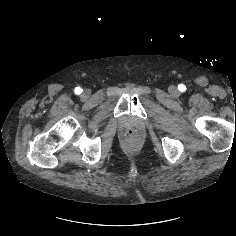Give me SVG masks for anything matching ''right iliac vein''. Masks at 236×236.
<instances>
[{
    "label": "right iliac vein",
    "mask_w": 236,
    "mask_h": 236,
    "mask_svg": "<svg viewBox=\"0 0 236 236\" xmlns=\"http://www.w3.org/2000/svg\"><path fill=\"white\" fill-rule=\"evenodd\" d=\"M90 95V92L88 90L83 91L81 98L82 99H87Z\"/></svg>",
    "instance_id": "63e3f726"
}]
</instances>
